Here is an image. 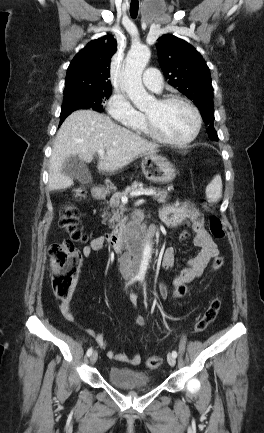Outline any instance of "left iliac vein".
I'll list each match as a JSON object with an SVG mask.
<instances>
[{
  "label": "left iliac vein",
  "mask_w": 264,
  "mask_h": 433,
  "mask_svg": "<svg viewBox=\"0 0 264 433\" xmlns=\"http://www.w3.org/2000/svg\"><path fill=\"white\" fill-rule=\"evenodd\" d=\"M167 361H168L170 366H175V364H176L175 357L170 353L167 355Z\"/></svg>",
  "instance_id": "1"
}]
</instances>
